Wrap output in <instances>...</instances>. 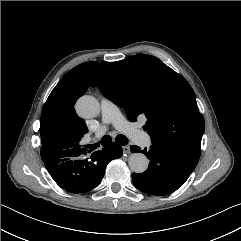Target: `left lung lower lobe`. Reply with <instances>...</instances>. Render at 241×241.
I'll use <instances>...</instances> for the list:
<instances>
[{
    "label": "left lung lower lobe",
    "mask_w": 241,
    "mask_h": 241,
    "mask_svg": "<svg viewBox=\"0 0 241 241\" xmlns=\"http://www.w3.org/2000/svg\"><path fill=\"white\" fill-rule=\"evenodd\" d=\"M130 150L132 153L142 152L150 159L148 169L141 174L133 173L132 179L139 190L152 195H167L180 188L199 160L179 150L155 144L144 150L133 145Z\"/></svg>",
    "instance_id": "0a47b994"
}]
</instances>
